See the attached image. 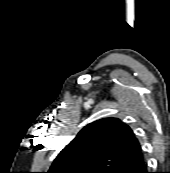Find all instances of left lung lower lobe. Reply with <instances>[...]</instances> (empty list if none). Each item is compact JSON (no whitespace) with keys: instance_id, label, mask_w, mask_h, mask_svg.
Here are the masks:
<instances>
[{"instance_id":"1","label":"left lung lower lobe","mask_w":170,"mask_h":173,"mask_svg":"<svg viewBox=\"0 0 170 173\" xmlns=\"http://www.w3.org/2000/svg\"><path fill=\"white\" fill-rule=\"evenodd\" d=\"M116 173H149V172H147V167L144 158L141 155L140 157H137L127 162L125 165L119 168L116 171Z\"/></svg>"}]
</instances>
